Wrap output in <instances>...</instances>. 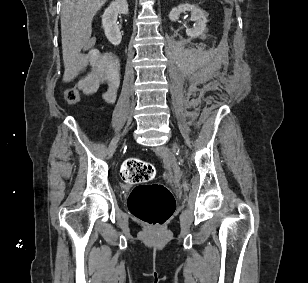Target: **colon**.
Masks as SVG:
<instances>
[{
    "label": "colon",
    "instance_id": "1",
    "mask_svg": "<svg viewBox=\"0 0 308 283\" xmlns=\"http://www.w3.org/2000/svg\"><path fill=\"white\" fill-rule=\"evenodd\" d=\"M95 44L96 38L91 37L85 43L84 51H93ZM81 91L78 86L66 89L65 100L70 104L79 102ZM154 176L153 165L137 158L127 159L121 168L122 179L135 185L128 197V208L132 215L148 225L162 226L175 210V199L165 185L149 183Z\"/></svg>",
    "mask_w": 308,
    "mask_h": 283
}]
</instances>
